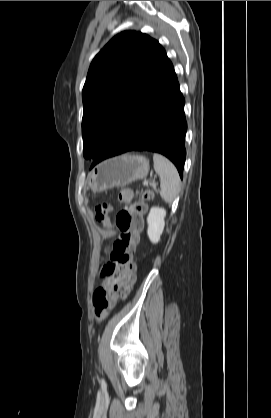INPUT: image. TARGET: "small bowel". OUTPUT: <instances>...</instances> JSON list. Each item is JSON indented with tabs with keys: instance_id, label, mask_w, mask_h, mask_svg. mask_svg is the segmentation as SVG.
Returning a JSON list of instances; mask_svg holds the SVG:
<instances>
[{
	"instance_id": "c3829d8e",
	"label": "small bowel",
	"mask_w": 271,
	"mask_h": 418,
	"mask_svg": "<svg viewBox=\"0 0 271 418\" xmlns=\"http://www.w3.org/2000/svg\"><path fill=\"white\" fill-rule=\"evenodd\" d=\"M111 282H112V279H111V278H107V279L104 281V286L109 287V286L111 285Z\"/></svg>"
}]
</instances>
